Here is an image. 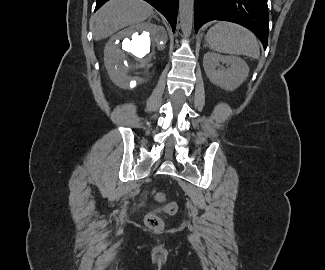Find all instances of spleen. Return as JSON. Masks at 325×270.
<instances>
[{"label":"spleen","mask_w":325,"mask_h":270,"mask_svg":"<svg viewBox=\"0 0 325 270\" xmlns=\"http://www.w3.org/2000/svg\"><path fill=\"white\" fill-rule=\"evenodd\" d=\"M206 41L211 50L220 53L245 55L255 59L260 56L256 36L235 23L218 22L208 30Z\"/></svg>","instance_id":"3e777b00"}]
</instances>
